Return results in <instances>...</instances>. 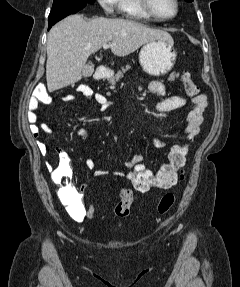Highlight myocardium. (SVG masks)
I'll return each mask as SVG.
<instances>
[{
    "mask_svg": "<svg viewBox=\"0 0 240 287\" xmlns=\"http://www.w3.org/2000/svg\"><path fill=\"white\" fill-rule=\"evenodd\" d=\"M140 3H141V6H142L143 10L145 11V13L147 15H149L151 18H153L155 20H158V21H169V20H172L179 14V11H180L179 0H174L175 12H174L173 15L167 16V17L159 15L154 10L151 0H140Z\"/></svg>",
    "mask_w": 240,
    "mask_h": 287,
    "instance_id": "myocardium-1",
    "label": "myocardium"
}]
</instances>
